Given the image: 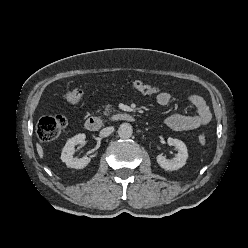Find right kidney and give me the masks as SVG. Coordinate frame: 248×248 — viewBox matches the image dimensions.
<instances>
[{"instance_id": "ca27d5eb", "label": "right kidney", "mask_w": 248, "mask_h": 248, "mask_svg": "<svg viewBox=\"0 0 248 248\" xmlns=\"http://www.w3.org/2000/svg\"><path fill=\"white\" fill-rule=\"evenodd\" d=\"M85 138L86 135L82 133L75 135L66 142L64 148L62 149L61 160L65 162L68 167L82 169L89 164L91 159L87 156H84L81 159L73 157L74 147L78 144H82Z\"/></svg>"}]
</instances>
